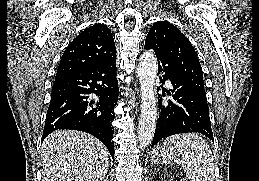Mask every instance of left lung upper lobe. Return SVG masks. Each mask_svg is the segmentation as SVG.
I'll return each mask as SVG.
<instances>
[{"label":"left lung upper lobe","mask_w":259,"mask_h":181,"mask_svg":"<svg viewBox=\"0 0 259 181\" xmlns=\"http://www.w3.org/2000/svg\"><path fill=\"white\" fill-rule=\"evenodd\" d=\"M145 49H153L156 56H164L177 78L206 98L197 54L178 28L166 21L154 23L147 34Z\"/></svg>","instance_id":"left-lung-upper-lobe-1"}]
</instances>
